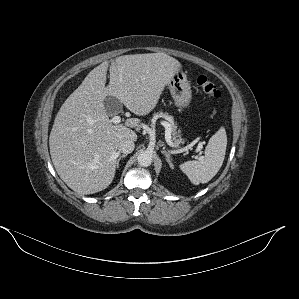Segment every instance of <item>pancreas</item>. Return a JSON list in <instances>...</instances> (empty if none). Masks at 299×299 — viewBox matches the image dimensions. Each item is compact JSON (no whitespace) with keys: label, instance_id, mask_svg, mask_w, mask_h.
<instances>
[{"label":"pancreas","instance_id":"cf45deb5","mask_svg":"<svg viewBox=\"0 0 299 299\" xmlns=\"http://www.w3.org/2000/svg\"><path fill=\"white\" fill-rule=\"evenodd\" d=\"M159 117H165L168 120V122L171 126V132H172V135H173L174 142L176 144L183 143V139L180 136V131H178V132L176 131L177 126L174 122L173 117L168 116V114H166V113L164 114V113L160 112V113H155L152 120H156Z\"/></svg>","mask_w":299,"mask_h":299}]
</instances>
